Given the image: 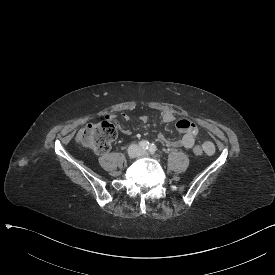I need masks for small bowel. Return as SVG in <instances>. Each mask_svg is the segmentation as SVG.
I'll list each match as a JSON object with an SVG mask.
<instances>
[{
    "label": "small bowel",
    "mask_w": 275,
    "mask_h": 275,
    "mask_svg": "<svg viewBox=\"0 0 275 275\" xmlns=\"http://www.w3.org/2000/svg\"><path fill=\"white\" fill-rule=\"evenodd\" d=\"M117 116H118L117 112H114L113 114H106L103 117V120L112 121V125L116 126L117 130H120L121 126L119 125V120L116 119ZM120 119L128 120L129 116L126 113H121ZM141 120L143 122H146L147 117L142 116ZM161 120L163 123H172L175 121V116L172 112H165L162 115ZM176 128L183 134L181 138L172 140V139L166 138L163 134H158L159 140L169 146H182L186 149L193 148V146L195 145V138L199 133L198 126L194 122L186 118H181L176 121ZM120 133L125 135H131L132 131L130 129H121ZM203 147L205 148V152L209 155H212L215 151V146L210 141H205L203 143Z\"/></svg>",
    "instance_id": "c3829d8e"
}]
</instances>
